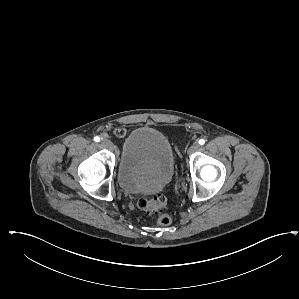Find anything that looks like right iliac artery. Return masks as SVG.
<instances>
[{"instance_id":"1","label":"right iliac artery","mask_w":299,"mask_h":299,"mask_svg":"<svg viewBox=\"0 0 299 299\" xmlns=\"http://www.w3.org/2000/svg\"><path fill=\"white\" fill-rule=\"evenodd\" d=\"M94 141L95 142H99L100 141V138L98 136L94 137Z\"/></svg>"}]
</instances>
